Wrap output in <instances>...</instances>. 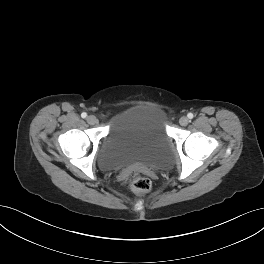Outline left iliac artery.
Listing matches in <instances>:
<instances>
[{"label": "left iliac artery", "mask_w": 264, "mask_h": 264, "mask_svg": "<svg viewBox=\"0 0 264 264\" xmlns=\"http://www.w3.org/2000/svg\"><path fill=\"white\" fill-rule=\"evenodd\" d=\"M187 116H188L189 119H192L194 117V115L192 113H188Z\"/></svg>", "instance_id": "1"}]
</instances>
